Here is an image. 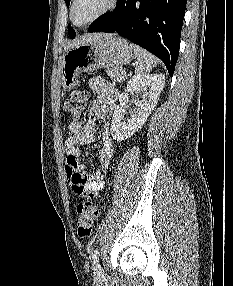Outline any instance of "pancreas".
<instances>
[{
    "mask_svg": "<svg viewBox=\"0 0 233 286\" xmlns=\"http://www.w3.org/2000/svg\"><path fill=\"white\" fill-rule=\"evenodd\" d=\"M107 75L117 83H121L127 78L125 75V70L122 67L109 68L107 70Z\"/></svg>",
    "mask_w": 233,
    "mask_h": 286,
    "instance_id": "1",
    "label": "pancreas"
}]
</instances>
